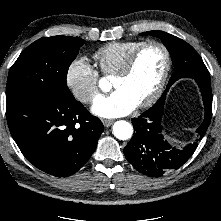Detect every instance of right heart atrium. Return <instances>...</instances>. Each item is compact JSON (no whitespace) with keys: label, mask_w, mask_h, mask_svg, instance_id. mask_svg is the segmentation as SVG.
I'll list each match as a JSON object with an SVG mask.
<instances>
[{"label":"right heart atrium","mask_w":221,"mask_h":221,"mask_svg":"<svg viewBox=\"0 0 221 221\" xmlns=\"http://www.w3.org/2000/svg\"><path fill=\"white\" fill-rule=\"evenodd\" d=\"M98 71L84 57L74 59L66 73V83L73 96L83 102H91L99 92Z\"/></svg>","instance_id":"obj_1"}]
</instances>
